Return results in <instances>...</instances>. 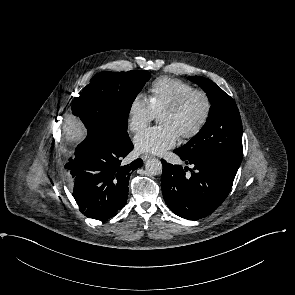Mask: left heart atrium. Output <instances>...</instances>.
I'll return each mask as SVG.
<instances>
[{"instance_id":"left-heart-atrium-1","label":"left heart atrium","mask_w":295,"mask_h":295,"mask_svg":"<svg viewBox=\"0 0 295 295\" xmlns=\"http://www.w3.org/2000/svg\"><path fill=\"white\" fill-rule=\"evenodd\" d=\"M179 139L178 132L170 126L146 129L134 138L135 148L141 153L163 154L173 148Z\"/></svg>"}]
</instances>
